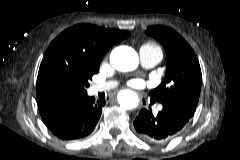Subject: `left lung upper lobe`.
Returning <instances> with one entry per match:
<instances>
[{
	"label": "left lung upper lobe",
	"instance_id": "left-lung-upper-lobe-1",
	"mask_svg": "<svg viewBox=\"0 0 240 160\" xmlns=\"http://www.w3.org/2000/svg\"><path fill=\"white\" fill-rule=\"evenodd\" d=\"M146 34L161 42L167 52L166 79L151 90V98L160 103H174L195 111L202 74L193 49L175 30L165 26H151Z\"/></svg>",
	"mask_w": 240,
	"mask_h": 160
}]
</instances>
